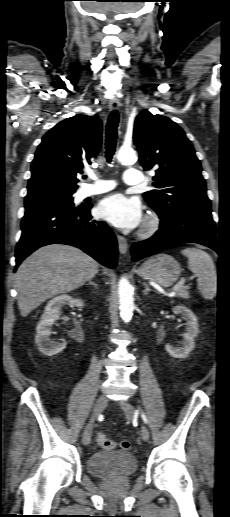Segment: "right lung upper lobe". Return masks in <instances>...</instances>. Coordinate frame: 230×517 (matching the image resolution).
Wrapping results in <instances>:
<instances>
[{"mask_svg":"<svg viewBox=\"0 0 230 517\" xmlns=\"http://www.w3.org/2000/svg\"><path fill=\"white\" fill-rule=\"evenodd\" d=\"M101 137V120L81 114L49 130L32 161L25 202L73 194L78 188L76 175L98 154Z\"/></svg>","mask_w":230,"mask_h":517,"instance_id":"right-lung-upper-lobe-1","label":"right lung upper lobe"}]
</instances>
